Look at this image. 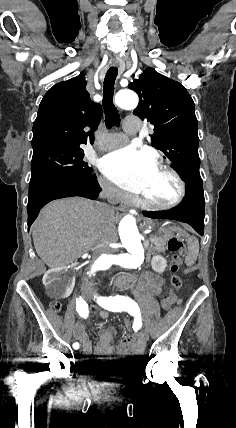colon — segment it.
<instances>
[{
    "label": "colon",
    "mask_w": 236,
    "mask_h": 428,
    "mask_svg": "<svg viewBox=\"0 0 236 428\" xmlns=\"http://www.w3.org/2000/svg\"><path fill=\"white\" fill-rule=\"evenodd\" d=\"M167 246H168V250L170 252L175 253V255L172 260L171 275L169 277V284L171 286V290L162 299V307L165 310H169L171 306L175 303L177 299L175 290L179 289L182 286V279L177 274V272L182 263L181 255L184 254V243H183V240L178 236H171L168 239ZM51 309L54 312H59L61 310V304L59 302H52ZM125 326L127 328H131L132 323L129 320H126Z\"/></svg>",
    "instance_id": "1"
}]
</instances>
